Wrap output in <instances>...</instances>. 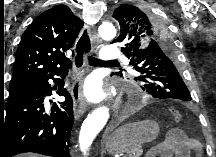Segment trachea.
<instances>
[{
    "instance_id": "3493384b",
    "label": "trachea",
    "mask_w": 216,
    "mask_h": 157,
    "mask_svg": "<svg viewBox=\"0 0 216 157\" xmlns=\"http://www.w3.org/2000/svg\"><path fill=\"white\" fill-rule=\"evenodd\" d=\"M90 45V40H89V36L87 34V31H84V34L82 35L80 41L78 42L77 48L85 51L86 50V46ZM89 60V64L90 65H106V64H110V63H115V61H102L100 59H97L95 57H88Z\"/></svg>"
}]
</instances>
